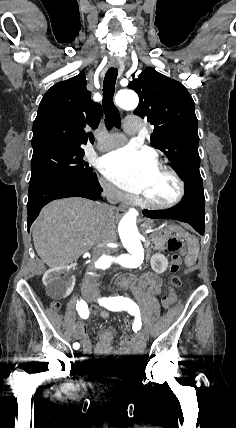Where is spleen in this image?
I'll list each match as a JSON object with an SVG mask.
<instances>
[{
	"label": "spleen",
	"mask_w": 236,
	"mask_h": 428,
	"mask_svg": "<svg viewBox=\"0 0 236 428\" xmlns=\"http://www.w3.org/2000/svg\"><path fill=\"white\" fill-rule=\"evenodd\" d=\"M170 230H176L180 236H183V238H186L187 240V246H188V254L185 256V264L186 266H193L195 264L200 246H199V240L198 238H195V236H190L188 232H184V230H181V228H170Z\"/></svg>",
	"instance_id": "obj_1"
}]
</instances>
